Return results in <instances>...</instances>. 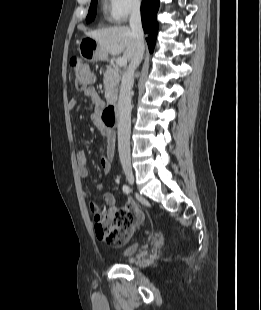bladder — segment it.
<instances>
[{
  "label": "bladder",
  "instance_id": "1",
  "mask_svg": "<svg viewBox=\"0 0 261 310\" xmlns=\"http://www.w3.org/2000/svg\"><path fill=\"white\" fill-rule=\"evenodd\" d=\"M138 249H139V243L137 242L131 243L125 246L123 249H121L118 253V256L123 259H129L138 251Z\"/></svg>",
  "mask_w": 261,
  "mask_h": 310
}]
</instances>
